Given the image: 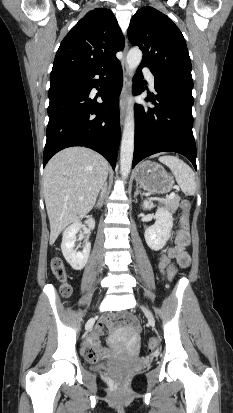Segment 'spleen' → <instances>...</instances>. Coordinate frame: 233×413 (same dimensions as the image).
<instances>
[{
    "mask_svg": "<svg viewBox=\"0 0 233 413\" xmlns=\"http://www.w3.org/2000/svg\"><path fill=\"white\" fill-rule=\"evenodd\" d=\"M159 161L170 168L184 194H195V174L185 162L175 156H162L159 158Z\"/></svg>",
    "mask_w": 233,
    "mask_h": 413,
    "instance_id": "spleen-1",
    "label": "spleen"
}]
</instances>
